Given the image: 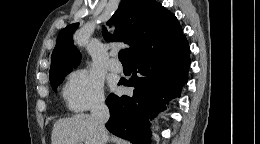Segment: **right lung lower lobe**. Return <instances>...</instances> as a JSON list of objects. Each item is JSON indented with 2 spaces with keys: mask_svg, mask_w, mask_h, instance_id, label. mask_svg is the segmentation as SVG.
I'll return each instance as SVG.
<instances>
[{
  "mask_svg": "<svg viewBox=\"0 0 260 144\" xmlns=\"http://www.w3.org/2000/svg\"><path fill=\"white\" fill-rule=\"evenodd\" d=\"M133 74L118 84L135 87L132 96L110 94L106 128L133 144H150L149 119L166 108L171 99L180 97L190 67L189 45L185 35L135 54L130 58Z\"/></svg>",
  "mask_w": 260,
  "mask_h": 144,
  "instance_id": "1",
  "label": "right lung lower lobe"
}]
</instances>
